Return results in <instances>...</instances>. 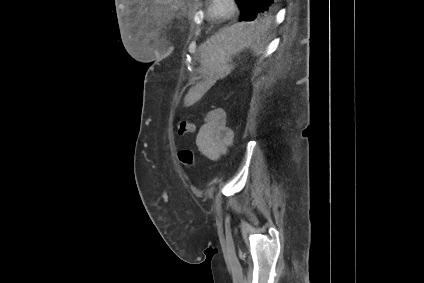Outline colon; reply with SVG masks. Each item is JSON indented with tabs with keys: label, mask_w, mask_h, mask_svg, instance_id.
<instances>
[{
	"label": "colon",
	"mask_w": 424,
	"mask_h": 283,
	"mask_svg": "<svg viewBox=\"0 0 424 283\" xmlns=\"http://www.w3.org/2000/svg\"><path fill=\"white\" fill-rule=\"evenodd\" d=\"M194 124L186 119H181L177 123V132L180 135H188L194 131ZM179 160L186 166H193L194 164V153L189 149L181 150L178 153Z\"/></svg>",
	"instance_id": "obj_1"
}]
</instances>
